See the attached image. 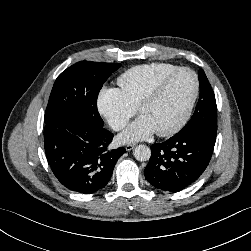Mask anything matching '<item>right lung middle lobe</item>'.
<instances>
[{
    "mask_svg": "<svg viewBox=\"0 0 251 251\" xmlns=\"http://www.w3.org/2000/svg\"><path fill=\"white\" fill-rule=\"evenodd\" d=\"M120 66L118 63L81 61L64 70L53 85L45 123L76 116L103 127L97 97L104 82Z\"/></svg>",
    "mask_w": 251,
    "mask_h": 251,
    "instance_id": "1",
    "label": "right lung middle lobe"
}]
</instances>
